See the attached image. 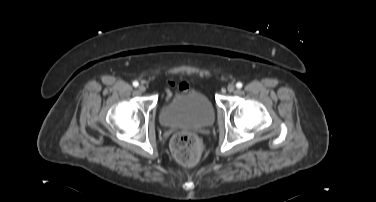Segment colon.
<instances>
[{
    "label": "colon",
    "instance_id": "colon-1",
    "mask_svg": "<svg viewBox=\"0 0 376 202\" xmlns=\"http://www.w3.org/2000/svg\"><path fill=\"white\" fill-rule=\"evenodd\" d=\"M170 148L175 159L182 164L197 162L205 151L202 139L189 132L175 134L170 141Z\"/></svg>",
    "mask_w": 376,
    "mask_h": 202
}]
</instances>
